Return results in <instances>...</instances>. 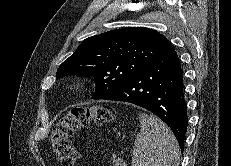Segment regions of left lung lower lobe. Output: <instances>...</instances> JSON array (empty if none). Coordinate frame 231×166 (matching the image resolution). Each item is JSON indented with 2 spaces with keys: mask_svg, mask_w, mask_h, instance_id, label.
Listing matches in <instances>:
<instances>
[{
  "mask_svg": "<svg viewBox=\"0 0 231 166\" xmlns=\"http://www.w3.org/2000/svg\"><path fill=\"white\" fill-rule=\"evenodd\" d=\"M101 99L129 102L151 111L172 129L183 150L187 106L180 61L170 44L151 63Z\"/></svg>",
  "mask_w": 231,
  "mask_h": 166,
  "instance_id": "1",
  "label": "left lung lower lobe"
}]
</instances>
